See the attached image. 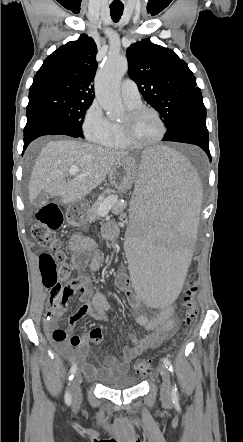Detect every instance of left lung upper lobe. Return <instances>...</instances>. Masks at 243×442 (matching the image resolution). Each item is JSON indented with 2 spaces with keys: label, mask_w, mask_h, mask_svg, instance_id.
I'll return each instance as SVG.
<instances>
[{
  "label": "left lung upper lobe",
  "mask_w": 243,
  "mask_h": 442,
  "mask_svg": "<svg viewBox=\"0 0 243 442\" xmlns=\"http://www.w3.org/2000/svg\"><path fill=\"white\" fill-rule=\"evenodd\" d=\"M126 56L130 77L160 113L167 134L186 116L206 111L195 76L174 51L143 39L131 45Z\"/></svg>",
  "instance_id": "1"
}]
</instances>
